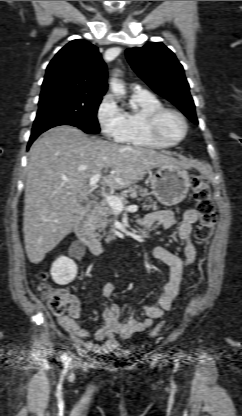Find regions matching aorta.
<instances>
[{
    "label": "aorta",
    "instance_id": "762f6f07",
    "mask_svg": "<svg viewBox=\"0 0 242 416\" xmlns=\"http://www.w3.org/2000/svg\"><path fill=\"white\" fill-rule=\"evenodd\" d=\"M110 87L113 93L115 94H123L125 92L124 86L121 84V82L116 78V75H114L110 80Z\"/></svg>",
    "mask_w": 242,
    "mask_h": 416
}]
</instances>
